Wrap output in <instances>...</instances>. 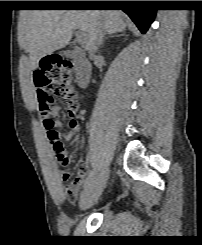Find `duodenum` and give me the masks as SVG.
<instances>
[{
  "instance_id": "410a0bca",
  "label": "duodenum",
  "mask_w": 202,
  "mask_h": 245,
  "mask_svg": "<svg viewBox=\"0 0 202 245\" xmlns=\"http://www.w3.org/2000/svg\"><path fill=\"white\" fill-rule=\"evenodd\" d=\"M74 64L76 68L77 84L81 88H86L90 82L91 65L83 56L75 57Z\"/></svg>"
}]
</instances>
